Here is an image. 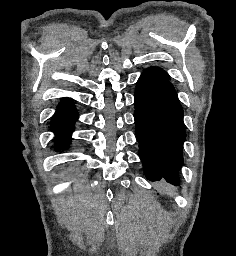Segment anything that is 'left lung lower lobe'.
<instances>
[{
	"label": "left lung lower lobe",
	"mask_w": 236,
	"mask_h": 256,
	"mask_svg": "<svg viewBox=\"0 0 236 256\" xmlns=\"http://www.w3.org/2000/svg\"><path fill=\"white\" fill-rule=\"evenodd\" d=\"M168 79L151 68L140 76L134 103L136 138L146 178L180 185L186 133L183 110Z\"/></svg>",
	"instance_id": "0a47b994"
}]
</instances>
